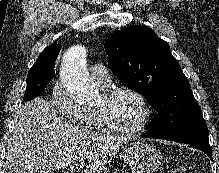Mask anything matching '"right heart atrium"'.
I'll list each match as a JSON object with an SVG mask.
<instances>
[{
	"label": "right heart atrium",
	"mask_w": 219,
	"mask_h": 173,
	"mask_svg": "<svg viewBox=\"0 0 219 173\" xmlns=\"http://www.w3.org/2000/svg\"><path fill=\"white\" fill-rule=\"evenodd\" d=\"M50 103L53 109L61 116L76 124H84V111L70 97L61 82H56L54 84L51 92Z\"/></svg>",
	"instance_id": "1"
}]
</instances>
